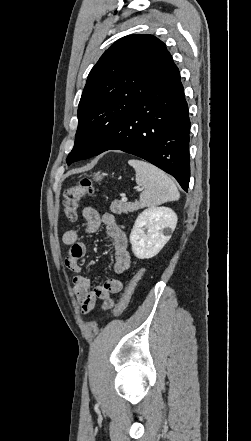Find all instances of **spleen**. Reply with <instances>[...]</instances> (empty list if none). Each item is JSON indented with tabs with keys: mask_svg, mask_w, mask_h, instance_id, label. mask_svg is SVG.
Returning <instances> with one entry per match:
<instances>
[{
	"mask_svg": "<svg viewBox=\"0 0 251 441\" xmlns=\"http://www.w3.org/2000/svg\"><path fill=\"white\" fill-rule=\"evenodd\" d=\"M128 164L135 169L136 183L143 187L140 194L141 206L154 207L179 199L176 185L164 171L138 159H130Z\"/></svg>",
	"mask_w": 251,
	"mask_h": 441,
	"instance_id": "1",
	"label": "spleen"
}]
</instances>
